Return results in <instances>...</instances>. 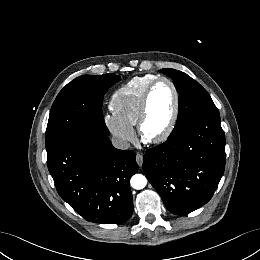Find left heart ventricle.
<instances>
[{"mask_svg":"<svg viewBox=\"0 0 260 260\" xmlns=\"http://www.w3.org/2000/svg\"><path fill=\"white\" fill-rule=\"evenodd\" d=\"M174 109V94L166 82L159 83L150 98L144 133L148 137L160 135L168 126Z\"/></svg>","mask_w":260,"mask_h":260,"instance_id":"left-heart-ventricle-1","label":"left heart ventricle"}]
</instances>
